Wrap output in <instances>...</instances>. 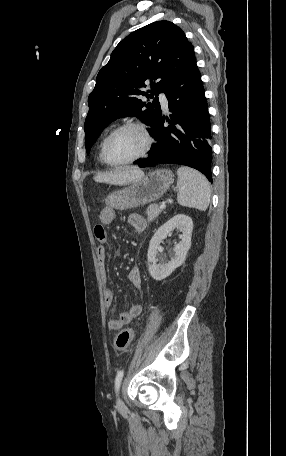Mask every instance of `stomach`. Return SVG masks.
<instances>
[{
  "label": "stomach",
  "mask_w": 286,
  "mask_h": 456,
  "mask_svg": "<svg viewBox=\"0 0 286 456\" xmlns=\"http://www.w3.org/2000/svg\"><path fill=\"white\" fill-rule=\"evenodd\" d=\"M172 182L173 173L170 170H154L129 187L109 194L105 203L117 210L136 208L160 198Z\"/></svg>",
  "instance_id": "obj_1"
}]
</instances>
